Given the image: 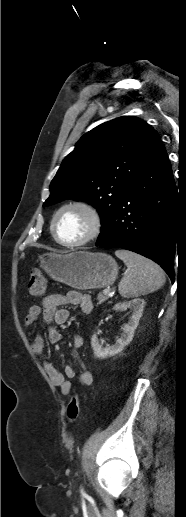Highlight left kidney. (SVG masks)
Wrapping results in <instances>:
<instances>
[{"label": "left kidney", "instance_id": "obj_1", "mask_svg": "<svg viewBox=\"0 0 186 517\" xmlns=\"http://www.w3.org/2000/svg\"><path fill=\"white\" fill-rule=\"evenodd\" d=\"M145 301L144 299H133L131 301H125L121 303H117L113 310H127L130 309L132 311V316L129 318L127 324L122 328L123 333L121 337L116 340V343L109 347H102L99 343L97 335L94 334L91 338V346L94 351V356L97 358H106L108 356H113L120 353L126 345H128L134 336V331L138 326L139 320L142 316V312L144 309Z\"/></svg>", "mask_w": 186, "mask_h": 517}]
</instances>
